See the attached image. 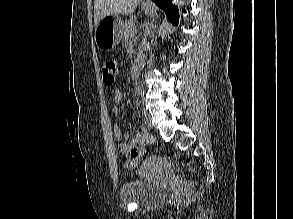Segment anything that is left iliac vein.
Masks as SVG:
<instances>
[{"label": "left iliac vein", "instance_id": "obj_1", "mask_svg": "<svg viewBox=\"0 0 293 219\" xmlns=\"http://www.w3.org/2000/svg\"><path fill=\"white\" fill-rule=\"evenodd\" d=\"M144 119L148 127L152 128L151 116L147 110L144 109Z\"/></svg>", "mask_w": 293, "mask_h": 219}]
</instances>
